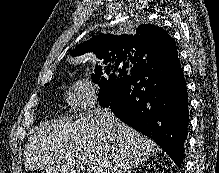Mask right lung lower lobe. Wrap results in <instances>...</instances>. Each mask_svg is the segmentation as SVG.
Masks as SVG:
<instances>
[{
    "instance_id": "right-lung-lower-lobe-1",
    "label": "right lung lower lobe",
    "mask_w": 219,
    "mask_h": 173,
    "mask_svg": "<svg viewBox=\"0 0 219 173\" xmlns=\"http://www.w3.org/2000/svg\"><path fill=\"white\" fill-rule=\"evenodd\" d=\"M188 105L186 82L177 58L167 66L152 59L140 64L104 108L153 139L181 167Z\"/></svg>"
}]
</instances>
